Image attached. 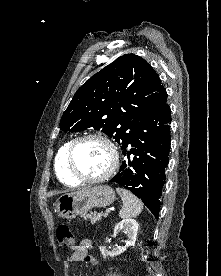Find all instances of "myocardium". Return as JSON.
I'll return each instance as SVG.
<instances>
[{
    "instance_id": "obj_1",
    "label": "myocardium",
    "mask_w": 221,
    "mask_h": 276,
    "mask_svg": "<svg viewBox=\"0 0 221 276\" xmlns=\"http://www.w3.org/2000/svg\"><path fill=\"white\" fill-rule=\"evenodd\" d=\"M96 139L106 144L111 154V162L107 170L97 177H86L80 174L73 163V154L76 146L82 141ZM119 162L118 151L114 145V143L106 136L98 133H89L82 136H79L72 140L67 148L66 152V166L70 175L80 182L86 183H98L108 179L116 170Z\"/></svg>"
}]
</instances>
